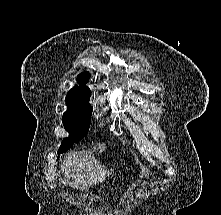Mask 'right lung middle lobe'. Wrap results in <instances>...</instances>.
<instances>
[{
	"instance_id": "obj_1",
	"label": "right lung middle lobe",
	"mask_w": 221,
	"mask_h": 215,
	"mask_svg": "<svg viewBox=\"0 0 221 215\" xmlns=\"http://www.w3.org/2000/svg\"><path fill=\"white\" fill-rule=\"evenodd\" d=\"M91 114L92 107L89 104L67 109L63 114V125L70 136L62 141L58 154L67 151L75 142L81 140L88 133Z\"/></svg>"
}]
</instances>
